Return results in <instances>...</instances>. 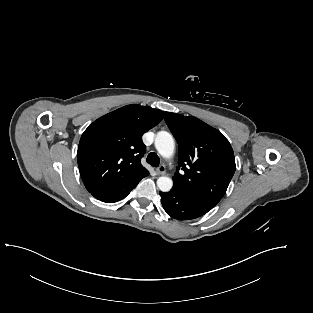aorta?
Listing matches in <instances>:
<instances>
[{
  "label": "aorta",
  "instance_id": "aorta-1",
  "mask_svg": "<svg viewBox=\"0 0 313 313\" xmlns=\"http://www.w3.org/2000/svg\"><path fill=\"white\" fill-rule=\"evenodd\" d=\"M155 147L163 158H171L175 149L173 136L166 131L158 132L155 137ZM157 186L162 192H168L173 186V181L169 177L162 176L157 179Z\"/></svg>",
  "mask_w": 313,
  "mask_h": 313
}]
</instances>
